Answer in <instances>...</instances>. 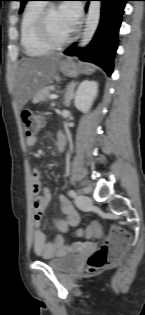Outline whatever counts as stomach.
Here are the masks:
<instances>
[{"mask_svg":"<svg viewBox=\"0 0 145 315\" xmlns=\"http://www.w3.org/2000/svg\"><path fill=\"white\" fill-rule=\"evenodd\" d=\"M70 69H74V76H76L79 73H85V74H90L92 73L93 69L86 66L83 68H80L78 65H76L74 62H72V66H70Z\"/></svg>","mask_w":145,"mask_h":315,"instance_id":"1","label":"stomach"}]
</instances>
